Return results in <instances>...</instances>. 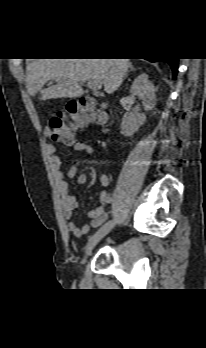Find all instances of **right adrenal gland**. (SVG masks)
Masks as SVG:
<instances>
[{"mask_svg":"<svg viewBox=\"0 0 206 348\" xmlns=\"http://www.w3.org/2000/svg\"><path fill=\"white\" fill-rule=\"evenodd\" d=\"M130 71H135V69L132 65H130Z\"/></svg>","mask_w":206,"mask_h":348,"instance_id":"1","label":"right adrenal gland"}]
</instances>
